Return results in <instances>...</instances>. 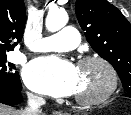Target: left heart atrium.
Segmentation results:
<instances>
[{
  "label": "left heart atrium",
  "instance_id": "39dd6f15",
  "mask_svg": "<svg viewBox=\"0 0 131 115\" xmlns=\"http://www.w3.org/2000/svg\"><path fill=\"white\" fill-rule=\"evenodd\" d=\"M26 85L39 93L53 97L71 96L78 85L77 67L56 56L37 58L23 71Z\"/></svg>",
  "mask_w": 131,
  "mask_h": 115
}]
</instances>
